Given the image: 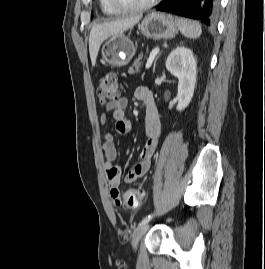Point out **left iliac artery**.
I'll list each match as a JSON object with an SVG mask.
<instances>
[{"instance_id": "obj_1", "label": "left iliac artery", "mask_w": 265, "mask_h": 269, "mask_svg": "<svg viewBox=\"0 0 265 269\" xmlns=\"http://www.w3.org/2000/svg\"><path fill=\"white\" fill-rule=\"evenodd\" d=\"M152 216H153L152 214L146 216V217L140 222L139 226L148 223V222L151 220Z\"/></svg>"}]
</instances>
